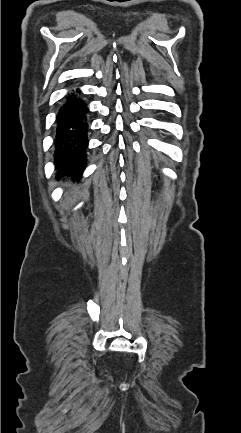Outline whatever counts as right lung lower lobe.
<instances>
[{
  "label": "right lung lower lobe",
  "instance_id": "1",
  "mask_svg": "<svg viewBox=\"0 0 241 433\" xmlns=\"http://www.w3.org/2000/svg\"><path fill=\"white\" fill-rule=\"evenodd\" d=\"M88 112V105L77 89L65 97L56 119V167L77 177L82 175L86 164Z\"/></svg>",
  "mask_w": 241,
  "mask_h": 433
}]
</instances>
